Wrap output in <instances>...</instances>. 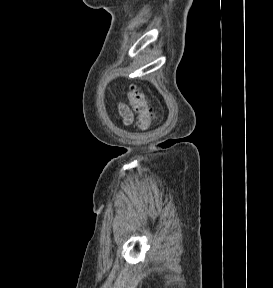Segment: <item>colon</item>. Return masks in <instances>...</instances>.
Returning a JSON list of instances; mask_svg holds the SVG:
<instances>
[{
	"label": "colon",
	"mask_w": 273,
	"mask_h": 288,
	"mask_svg": "<svg viewBox=\"0 0 273 288\" xmlns=\"http://www.w3.org/2000/svg\"><path fill=\"white\" fill-rule=\"evenodd\" d=\"M128 100L137 115V126L141 130H147L152 123V111L148 99L135 87H131L128 92Z\"/></svg>",
	"instance_id": "obj_1"
}]
</instances>
